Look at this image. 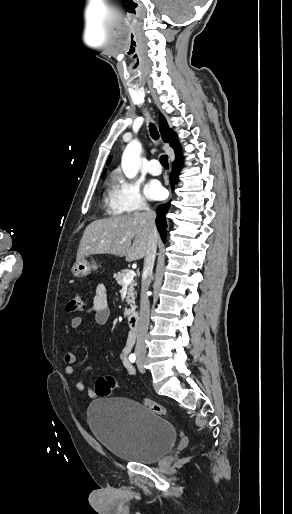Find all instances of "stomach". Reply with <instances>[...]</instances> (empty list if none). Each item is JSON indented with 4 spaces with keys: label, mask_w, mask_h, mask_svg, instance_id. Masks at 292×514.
Returning <instances> with one entry per match:
<instances>
[{
    "label": "stomach",
    "mask_w": 292,
    "mask_h": 514,
    "mask_svg": "<svg viewBox=\"0 0 292 514\" xmlns=\"http://www.w3.org/2000/svg\"><path fill=\"white\" fill-rule=\"evenodd\" d=\"M92 270H98L97 264H95V262H88L85 258H80V260L75 262L72 268V274L76 276V278H84V276L90 274Z\"/></svg>",
    "instance_id": "obj_1"
}]
</instances>
